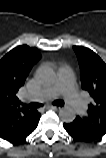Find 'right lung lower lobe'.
I'll use <instances>...</instances> for the list:
<instances>
[{
    "instance_id": "98d812e1",
    "label": "right lung lower lobe",
    "mask_w": 106,
    "mask_h": 158,
    "mask_svg": "<svg viewBox=\"0 0 106 158\" xmlns=\"http://www.w3.org/2000/svg\"><path fill=\"white\" fill-rule=\"evenodd\" d=\"M39 117H40V115H39V116L37 117V119L33 122V124L26 130V132L23 133L22 135L18 136L17 138L30 134V133L37 127Z\"/></svg>"
}]
</instances>
